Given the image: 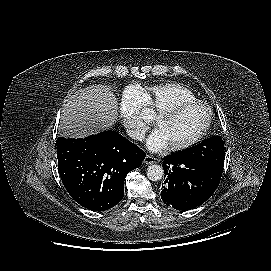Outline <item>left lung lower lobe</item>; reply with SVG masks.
I'll list each match as a JSON object with an SVG mask.
<instances>
[{"instance_id":"1","label":"left lung lower lobe","mask_w":271,"mask_h":271,"mask_svg":"<svg viewBox=\"0 0 271 271\" xmlns=\"http://www.w3.org/2000/svg\"><path fill=\"white\" fill-rule=\"evenodd\" d=\"M166 179L163 202L177 210H190L208 200L217 189L221 175L200 162L171 154L163 159Z\"/></svg>"}]
</instances>
